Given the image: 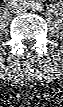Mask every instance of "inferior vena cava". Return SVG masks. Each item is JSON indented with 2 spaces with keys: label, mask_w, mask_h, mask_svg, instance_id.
<instances>
[{
  "label": "inferior vena cava",
  "mask_w": 63,
  "mask_h": 107,
  "mask_svg": "<svg viewBox=\"0 0 63 107\" xmlns=\"http://www.w3.org/2000/svg\"><path fill=\"white\" fill-rule=\"evenodd\" d=\"M15 10L18 11V12H25L26 11V9L24 7H22V6H19Z\"/></svg>",
  "instance_id": "602c4592"
}]
</instances>
